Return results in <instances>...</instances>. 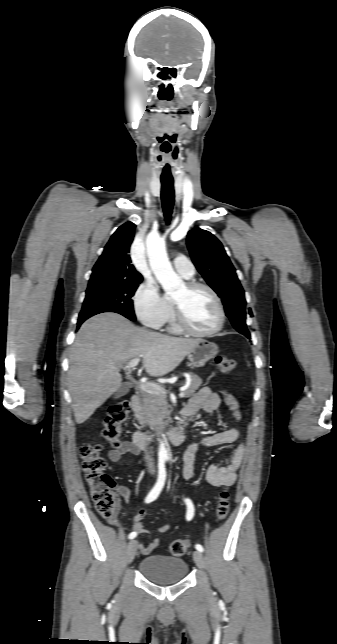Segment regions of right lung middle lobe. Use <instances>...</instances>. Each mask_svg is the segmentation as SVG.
Here are the masks:
<instances>
[{
    "label": "right lung middle lobe",
    "mask_w": 337,
    "mask_h": 644,
    "mask_svg": "<svg viewBox=\"0 0 337 644\" xmlns=\"http://www.w3.org/2000/svg\"><path fill=\"white\" fill-rule=\"evenodd\" d=\"M140 283L141 281L89 283L78 321H85L89 317L103 312H115L135 320L131 297Z\"/></svg>",
    "instance_id": "1"
}]
</instances>
